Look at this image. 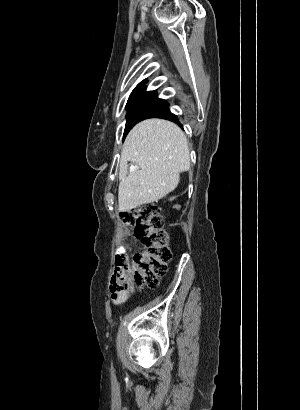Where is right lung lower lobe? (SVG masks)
Listing matches in <instances>:
<instances>
[{
  "label": "right lung lower lobe",
  "instance_id": "1",
  "mask_svg": "<svg viewBox=\"0 0 300 410\" xmlns=\"http://www.w3.org/2000/svg\"><path fill=\"white\" fill-rule=\"evenodd\" d=\"M153 117L169 119L171 121H177V117L169 111V108L163 110L162 112L158 114H154L148 118H153Z\"/></svg>",
  "mask_w": 300,
  "mask_h": 410
}]
</instances>
